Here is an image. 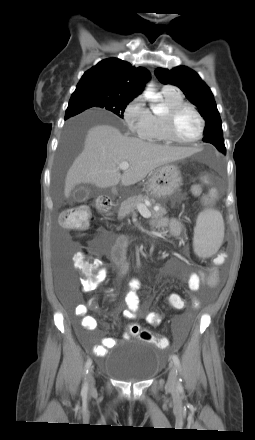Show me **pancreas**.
<instances>
[{
	"label": "pancreas",
	"instance_id": "1",
	"mask_svg": "<svg viewBox=\"0 0 255 440\" xmlns=\"http://www.w3.org/2000/svg\"><path fill=\"white\" fill-rule=\"evenodd\" d=\"M149 200H150L149 196H143V195L133 196V197L126 199L125 201L122 202V204L119 208L118 218L122 219V218L130 215L131 213L134 212L135 209H137V205H139V204L145 205V202L149 201ZM156 206L158 207L157 211L151 210L152 218L164 217L167 214L166 209L164 207H162L160 204H156Z\"/></svg>",
	"mask_w": 255,
	"mask_h": 440
}]
</instances>
